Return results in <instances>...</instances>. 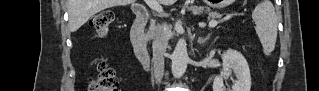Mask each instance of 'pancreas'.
Listing matches in <instances>:
<instances>
[{"instance_id": "1", "label": "pancreas", "mask_w": 319, "mask_h": 91, "mask_svg": "<svg viewBox=\"0 0 319 91\" xmlns=\"http://www.w3.org/2000/svg\"><path fill=\"white\" fill-rule=\"evenodd\" d=\"M191 9H196V8H191ZM209 17L211 19H216V18H220L221 15L217 12H209ZM156 28H155V25H154V22H152L150 28H149V31L147 33L148 37L149 38H152L154 36V32H155Z\"/></svg>"}]
</instances>
